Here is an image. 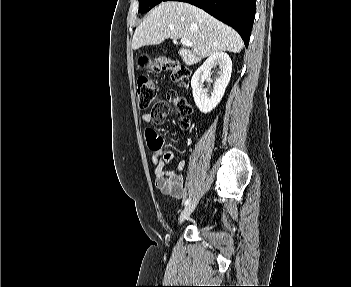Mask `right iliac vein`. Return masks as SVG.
I'll list each match as a JSON object with an SVG mask.
<instances>
[{
    "label": "right iliac vein",
    "mask_w": 351,
    "mask_h": 287,
    "mask_svg": "<svg viewBox=\"0 0 351 287\" xmlns=\"http://www.w3.org/2000/svg\"><path fill=\"white\" fill-rule=\"evenodd\" d=\"M197 205V202H192L190 204H188L183 211L180 214L179 217V224H182L190 215L191 213L194 211L195 207Z\"/></svg>",
    "instance_id": "obj_1"
}]
</instances>
